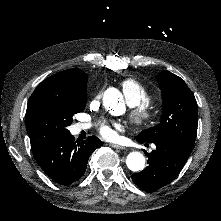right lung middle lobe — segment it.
Returning a JSON list of instances; mask_svg holds the SVG:
<instances>
[{
	"label": "right lung middle lobe",
	"mask_w": 221,
	"mask_h": 221,
	"mask_svg": "<svg viewBox=\"0 0 221 221\" xmlns=\"http://www.w3.org/2000/svg\"><path fill=\"white\" fill-rule=\"evenodd\" d=\"M87 90L64 95L54 90L35 89L26 110V129L31 148L62 139L70 134L67 127L73 115L85 109Z\"/></svg>",
	"instance_id": "1"
}]
</instances>
